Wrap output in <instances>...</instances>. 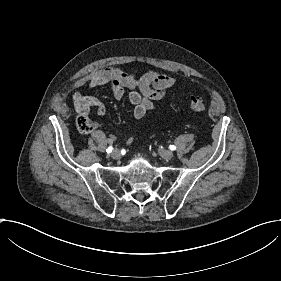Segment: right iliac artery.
Instances as JSON below:
<instances>
[{
  "mask_svg": "<svg viewBox=\"0 0 281 281\" xmlns=\"http://www.w3.org/2000/svg\"><path fill=\"white\" fill-rule=\"evenodd\" d=\"M112 149H113L112 146H110V147H108V149H106V152H107V153H111V152H112Z\"/></svg>",
  "mask_w": 281,
  "mask_h": 281,
  "instance_id": "82829eb1",
  "label": "right iliac artery"
}]
</instances>
